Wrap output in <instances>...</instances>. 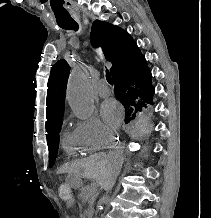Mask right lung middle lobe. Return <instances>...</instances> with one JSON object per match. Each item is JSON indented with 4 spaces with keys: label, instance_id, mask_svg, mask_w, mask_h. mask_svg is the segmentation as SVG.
<instances>
[{
    "label": "right lung middle lobe",
    "instance_id": "obj_1",
    "mask_svg": "<svg viewBox=\"0 0 211 218\" xmlns=\"http://www.w3.org/2000/svg\"><path fill=\"white\" fill-rule=\"evenodd\" d=\"M122 105L125 108V115L126 119L125 121L128 123L131 119H134L136 117V113L139 111L143 110H149L152 105L154 104H147L144 103L143 101L137 100L134 97H124V98H117ZM63 118L58 120L56 124L53 126L51 132L47 135V143H48V149H49V167H52L56 155H57V150L59 146V132L61 130V125H62Z\"/></svg>",
    "mask_w": 211,
    "mask_h": 218
}]
</instances>
